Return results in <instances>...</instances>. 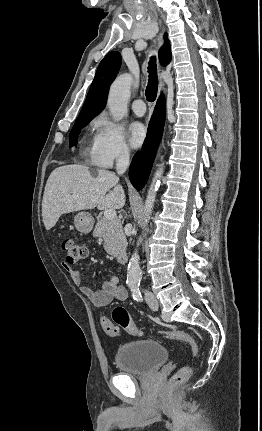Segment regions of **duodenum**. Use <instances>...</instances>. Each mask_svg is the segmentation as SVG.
<instances>
[{"label": "duodenum", "mask_w": 262, "mask_h": 431, "mask_svg": "<svg viewBox=\"0 0 262 431\" xmlns=\"http://www.w3.org/2000/svg\"><path fill=\"white\" fill-rule=\"evenodd\" d=\"M118 262L121 264H125L128 262V255L126 253H120L118 255Z\"/></svg>", "instance_id": "obj_1"}]
</instances>
